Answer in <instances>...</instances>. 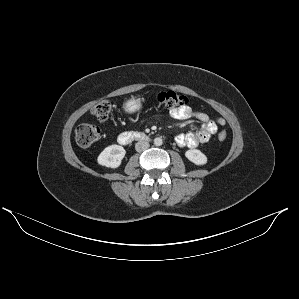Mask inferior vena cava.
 <instances>
[{
	"mask_svg": "<svg viewBox=\"0 0 299 299\" xmlns=\"http://www.w3.org/2000/svg\"><path fill=\"white\" fill-rule=\"evenodd\" d=\"M149 143L147 141H139L135 145V149L137 152H142L145 151L146 149L149 148Z\"/></svg>",
	"mask_w": 299,
	"mask_h": 299,
	"instance_id": "obj_1",
	"label": "inferior vena cava"
}]
</instances>
